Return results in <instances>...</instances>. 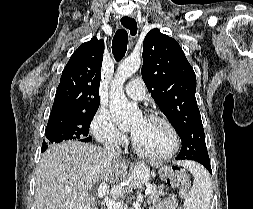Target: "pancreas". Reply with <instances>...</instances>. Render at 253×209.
Masks as SVG:
<instances>
[{
  "instance_id": "cf45deb5",
  "label": "pancreas",
  "mask_w": 253,
  "mask_h": 209,
  "mask_svg": "<svg viewBox=\"0 0 253 209\" xmlns=\"http://www.w3.org/2000/svg\"><path fill=\"white\" fill-rule=\"evenodd\" d=\"M164 186L160 185V186H152V192L149 194L148 197V203L149 204H156L161 200V196L164 195V190H163Z\"/></svg>"
}]
</instances>
